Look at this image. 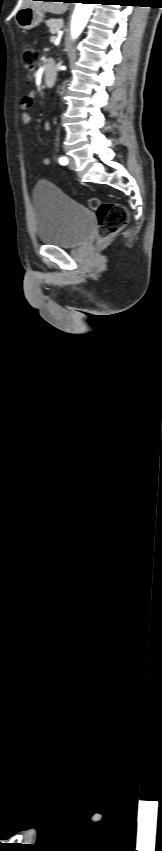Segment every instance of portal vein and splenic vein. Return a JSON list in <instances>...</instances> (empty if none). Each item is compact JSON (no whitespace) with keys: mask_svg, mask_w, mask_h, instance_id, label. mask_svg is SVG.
<instances>
[{"mask_svg":"<svg viewBox=\"0 0 162 851\" xmlns=\"http://www.w3.org/2000/svg\"><path fill=\"white\" fill-rule=\"evenodd\" d=\"M50 41H51L52 43H54V42L56 41V37H55V36H52V37H51V39H50Z\"/></svg>","mask_w":162,"mask_h":851,"instance_id":"obj_1","label":"portal vein and splenic vein"}]
</instances>
